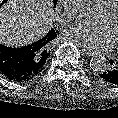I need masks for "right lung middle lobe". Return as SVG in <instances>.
<instances>
[{"mask_svg":"<svg viewBox=\"0 0 118 118\" xmlns=\"http://www.w3.org/2000/svg\"><path fill=\"white\" fill-rule=\"evenodd\" d=\"M6 1H7V0H3L2 4H3L4 2H6ZM57 1H58V0H53L54 6L56 5Z\"/></svg>","mask_w":118,"mask_h":118,"instance_id":"dd1d6c3e","label":"right lung middle lobe"}]
</instances>
